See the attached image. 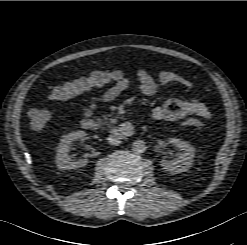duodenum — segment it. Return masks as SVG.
<instances>
[{"label":"duodenum","mask_w":247,"mask_h":245,"mask_svg":"<svg viewBox=\"0 0 247 245\" xmlns=\"http://www.w3.org/2000/svg\"><path fill=\"white\" fill-rule=\"evenodd\" d=\"M99 126H100V123L91 118H85L82 121V127L89 131L96 130L99 128ZM111 132L113 136L123 139L133 134L134 127L132 124L125 122V123L119 124L118 126L113 127Z\"/></svg>","instance_id":"obj_1"}]
</instances>
